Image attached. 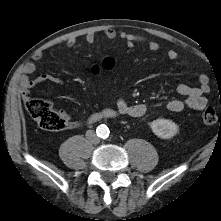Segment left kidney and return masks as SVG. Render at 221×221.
Listing matches in <instances>:
<instances>
[{"label": "left kidney", "mask_w": 221, "mask_h": 221, "mask_svg": "<svg viewBox=\"0 0 221 221\" xmlns=\"http://www.w3.org/2000/svg\"><path fill=\"white\" fill-rule=\"evenodd\" d=\"M151 129L155 135L162 139H170L179 131L178 125L168 119H156L152 121Z\"/></svg>", "instance_id": "5707ae66"}]
</instances>
